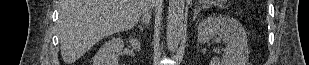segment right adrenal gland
Listing matches in <instances>:
<instances>
[{
  "label": "right adrenal gland",
  "instance_id": "obj_1",
  "mask_svg": "<svg viewBox=\"0 0 309 65\" xmlns=\"http://www.w3.org/2000/svg\"><path fill=\"white\" fill-rule=\"evenodd\" d=\"M138 28L140 29V31L144 30V26H142V25H138Z\"/></svg>",
  "mask_w": 309,
  "mask_h": 65
}]
</instances>
